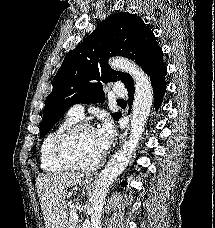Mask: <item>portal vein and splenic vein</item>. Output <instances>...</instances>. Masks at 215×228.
Returning a JSON list of instances; mask_svg holds the SVG:
<instances>
[{"instance_id": "1", "label": "portal vein and splenic vein", "mask_w": 215, "mask_h": 228, "mask_svg": "<svg viewBox=\"0 0 215 228\" xmlns=\"http://www.w3.org/2000/svg\"><path fill=\"white\" fill-rule=\"evenodd\" d=\"M70 216H71L72 220H78V214H77L76 210H74V208H73V210H71Z\"/></svg>"}]
</instances>
